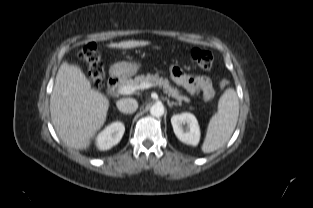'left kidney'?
Segmentation results:
<instances>
[{
    "instance_id": "obj_1",
    "label": "left kidney",
    "mask_w": 313,
    "mask_h": 208,
    "mask_svg": "<svg viewBox=\"0 0 313 208\" xmlns=\"http://www.w3.org/2000/svg\"><path fill=\"white\" fill-rule=\"evenodd\" d=\"M176 137L183 143L196 146L200 140V128L196 117L191 113H181L171 117ZM186 125V126H185Z\"/></svg>"
}]
</instances>
